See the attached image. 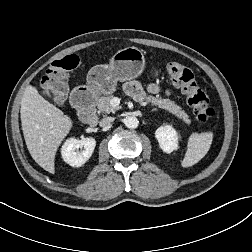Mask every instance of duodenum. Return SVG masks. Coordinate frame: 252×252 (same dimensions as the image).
<instances>
[{"label": "duodenum", "mask_w": 252, "mask_h": 252, "mask_svg": "<svg viewBox=\"0 0 252 252\" xmlns=\"http://www.w3.org/2000/svg\"><path fill=\"white\" fill-rule=\"evenodd\" d=\"M93 100L94 97L89 88L75 90L71 95V103L79 110L81 123L87 126H96L98 123V118L92 106Z\"/></svg>", "instance_id": "duodenum-1"}]
</instances>
